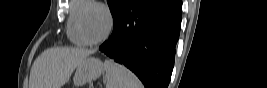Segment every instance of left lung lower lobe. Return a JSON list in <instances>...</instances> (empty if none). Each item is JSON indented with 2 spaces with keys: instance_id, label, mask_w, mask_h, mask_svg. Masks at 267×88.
Returning <instances> with one entry per match:
<instances>
[{
  "instance_id": "left-lung-lower-lobe-1",
  "label": "left lung lower lobe",
  "mask_w": 267,
  "mask_h": 88,
  "mask_svg": "<svg viewBox=\"0 0 267 88\" xmlns=\"http://www.w3.org/2000/svg\"><path fill=\"white\" fill-rule=\"evenodd\" d=\"M181 7L180 0H129L99 50L132 70L146 88H167Z\"/></svg>"
}]
</instances>
